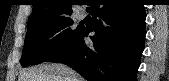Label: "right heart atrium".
Segmentation results:
<instances>
[{
    "instance_id": "d8ad5b80",
    "label": "right heart atrium",
    "mask_w": 169,
    "mask_h": 81,
    "mask_svg": "<svg viewBox=\"0 0 169 81\" xmlns=\"http://www.w3.org/2000/svg\"><path fill=\"white\" fill-rule=\"evenodd\" d=\"M61 36V31L57 30L55 32H53L52 36H51V40L52 41H57Z\"/></svg>"
}]
</instances>
